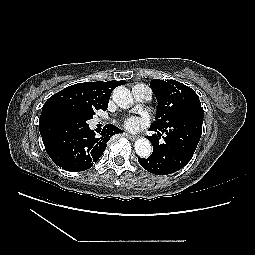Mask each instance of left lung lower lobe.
I'll use <instances>...</instances> for the list:
<instances>
[{"label":"left lung lower lobe","instance_id":"0a47b994","mask_svg":"<svg viewBox=\"0 0 255 255\" xmlns=\"http://www.w3.org/2000/svg\"><path fill=\"white\" fill-rule=\"evenodd\" d=\"M204 111L194 116L177 120L167 128L151 125L150 130L157 132L147 137L153 145V153L147 158H138L140 165L156 175L172 174L183 168L192 158L202 133ZM165 133L163 141L159 138Z\"/></svg>","mask_w":255,"mask_h":255}]
</instances>
